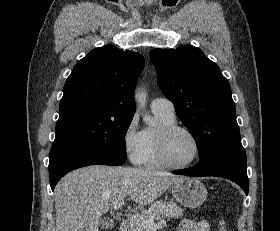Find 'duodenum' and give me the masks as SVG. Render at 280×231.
I'll return each mask as SVG.
<instances>
[{"label": "duodenum", "mask_w": 280, "mask_h": 231, "mask_svg": "<svg viewBox=\"0 0 280 231\" xmlns=\"http://www.w3.org/2000/svg\"><path fill=\"white\" fill-rule=\"evenodd\" d=\"M131 221L130 219H123L119 223V231H130Z\"/></svg>", "instance_id": "1"}]
</instances>
